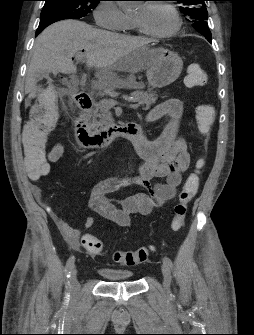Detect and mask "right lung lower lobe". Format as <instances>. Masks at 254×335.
Wrapping results in <instances>:
<instances>
[{
  "label": "right lung lower lobe",
  "instance_id": "98d812e1",
  "mask_svg": "<svg viewBox=\"0 0 254 335\" xmlns=\"http://www.w3.org/2000/svg\"><path fill=\"white\" fill-rule=\"evenodd\" d=\"M63 19H69V18H66V17H62V16H51V17H45V18H42L40 20V23H39V26L37 28V31H36V36L44 29L46 28L47 26H49L50 24L54 23V22H57V21H60V20H63Z\"/></svg>",
  "mask_w": 254,
  "mask_h": 335
}]
</instances>
